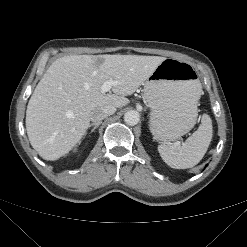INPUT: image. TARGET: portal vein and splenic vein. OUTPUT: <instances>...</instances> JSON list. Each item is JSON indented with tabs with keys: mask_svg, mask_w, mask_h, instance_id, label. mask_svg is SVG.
Here are the masks:
<instances>
[{
	"mask_svg": "<svg viewBox=\"0 0 247 247\" xmlns=\"http://www.w3.org/2000/svg\"><path fill=\"white\" fill-rule=\"evenodd\" d=\"M117 82L116 81H112V80H107L103 83V85L101 86V90L103 92H109L112 88V86L116 85Z\"/></svg>",
	"mask_w": 247,
	"mask_h": 247,
	"instance_id": "18ae733b",
	"label": "portal vein and splenic vein"
}]
</instances>
